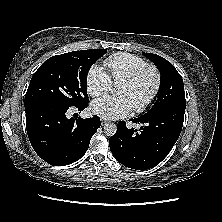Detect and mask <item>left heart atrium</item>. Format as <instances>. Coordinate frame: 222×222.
I'll return each mask as SVG.
<instances>
[{"instance_id":"1","label":"left heart atrium","mask_w":222,"mask_h":222,"mask_svg":"<svg viewBox=\"0 0 222 222\" xmlns=\"http://www.w3.org/2000/svg\"><path fill=\"white\" fill-rule=\"evenodd\" d=\"M91 108L95 114L108 120L124 117L132 110L129 100L122 94L101 97L92 103Z\"/></svg>"}]
</instances>
